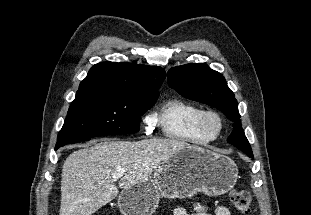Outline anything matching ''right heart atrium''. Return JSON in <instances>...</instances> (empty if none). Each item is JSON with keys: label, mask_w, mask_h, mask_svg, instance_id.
Segmentation results:
<instances>
[{"label": "right heart atrium", "mask_w": 311, "mask_h": 215, "mask_svg": "<svg viewBox=\"0 0 311 215\" xmlns=\"http://www.w3.org/2000/svg\"><path fill=\"white\" fill-rule=\"evenodd\" d=\"M144 121L148 126H153L155 124V119L153 115L146 116Z\"/></svg>", "instance_id": "1"}]
</instances>
